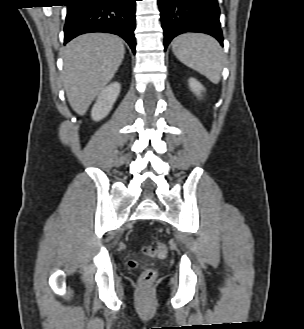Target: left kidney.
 I'll list each match as a JSON object with an SVG mask.
<instances>
[{
    "label": "left kidney",
    "mask_w": 304,
    "mask_h": 329,
    "mask_svg": "<svg viewBox=\"0 0 304 329\" xmlns=\"http://www.w3.org/2000/svg\"><path fill=\"white\" fill-rule=\"evenodd\" d=\"M189 86L191 91H193L197 96H200L201 92L205 90L201 83L194 78L189 79Z\"/></svg>",
    "instance_id": "obj_1"
}]
</instances>
